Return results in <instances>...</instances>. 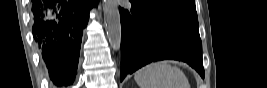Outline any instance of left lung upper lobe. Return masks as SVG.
<instances>
[{"label": "left lung upper lobe", "mask_w": 267, "mask_h": 88, "mask_svg": "<svg viewBox=\"0 0 267 88\" xmlns=\"http://www.w3.org/2000/svg\"><path fill=\"white\" fill-rule=\"evenodd\" d=\"M143 14L173 17L198 23L195 0H130Z\"/></svg>", "instance_id": "left-lung-upper-lobe-1"}]
</instances>
